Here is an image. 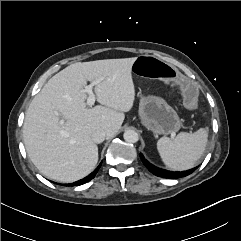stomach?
<instances>
[{"mask_svg": "<svg viewBox=\"0 0 241 241\" xmlns=\"http://www.w3.org/2000/svg\"><path fill=\"white\" fill-rule=\"evenodd\" d=\"M139 118L142 125L155 135H169L181 128L177 112L157 96H142L139 104Z\"/></svg>", "mask_w": 241, "mask_h": 241, "instance_id": "1", "label": "stomach"}]
</instances>
